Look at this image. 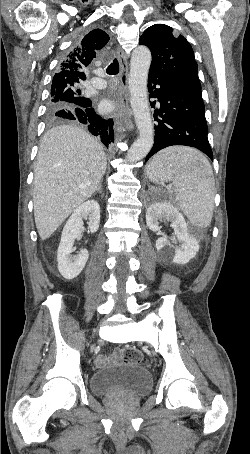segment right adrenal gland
Masks as SVG:
<instances>
[{
  "label": "right adrenal gland",
  "mask_w": 250,
  "mask_h": 454,
  "mask_svg": "<svg viewBox=\"0 0 250 454\" xmlns=\"http://www.w3.org/2000/svg\"><path fill=\"white\" fill-rule=\"evenodd\" d=\"M96 192H99L100 194L103 195V191H102V181L99 183L98 188L96 189Z\"/></svg>",
  "instance_id": "1"
}]
</instances>
